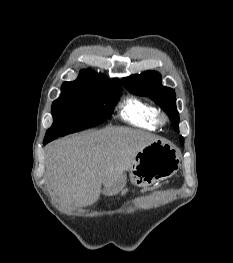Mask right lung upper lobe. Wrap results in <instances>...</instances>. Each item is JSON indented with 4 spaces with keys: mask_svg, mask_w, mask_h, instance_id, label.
Here are the masks:
<instances>
[{
    "mask_svg": "<svg viewBox=\"0 0 233 263\" xmlns=\"http://www.w3.org/2000/svg\"><path fill=\"white\" fill-rule=\"evenodd\" d=\"M114 88H121L118 79L109 80L93 70H82L77 80L62 84L61 96L95 95Z\"/></svg>",
    "mask_w": 233,
    "mask_h": 263,
    "instance_id": "cb5924a9",
    "label": "right lung upper lobe"
}]
</instances>
